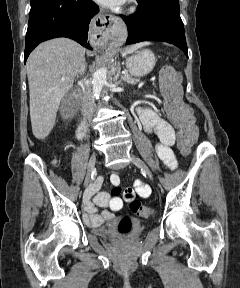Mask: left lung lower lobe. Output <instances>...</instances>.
Returning a JSON list of instances; mask_svg holds the SVG:
<instances>
[{
	"label": "left lung lower lobe",
	"mask_w": 240,
	"mask_h": 288,
	"mask_svg": "<svg viewBox=\"0 0 240 288\" xmlns=\"http://www.w3.org/2000/svg\"><path fill=\"white\" fill-rule=\"evenodd\" d=\"M139 10L126 17L127 44L141 41L168 42L179 47L188 57L184 25L178 0H137Z\"/></svg>",
	"instance_id": "0a47b994"
}]
</instances>
